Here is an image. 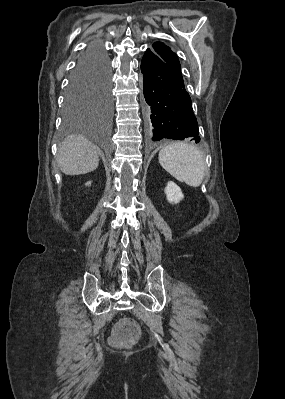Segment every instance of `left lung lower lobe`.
<instances>
[{
    "mask_svg": "<svg viewBox=\"0 0 285 399\" xmlns=\"http://www.w3.org/2000/svg\"><path fill=\"white\" fill-rule=\"evenodd\" d=\"M143 92L152 141L184 140L200 142L198 123L182 74L151 49L142 61Z\"/></svg>",
    "mask_w": 285,
    "mask_h": 399,
    "instance_id": "left-lung-lower-lobe-1",
    "label": "left lung lower lobe"
}]
</instances>
